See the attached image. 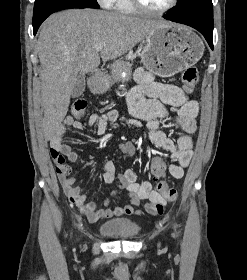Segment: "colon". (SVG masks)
I'll use <instances>...</instances> for the list:
<instances>
[{
  "mask_svg": "<svg viewBox=\"0 0 247 280\" xmlns=\"http://www.w3.org/2000/svg\"><path fill=\"white\" fill-rule=\"evenodd\" d=\"M199 80V73L197 68L189 67L185 69L182 73L183 87L187 92H192L197 85ZM87 108V101L85 99H77L74 101L71 107V113L75 117H82L85 114ZM121 151L128 156H133L136 154L137 148L132 142L122 143L120 146ZM52 158L56 165V170L60 175H67L70 173L71 169L66 164L65 158L57 153H51ZM166 166L165 163L159 157L152 158L151 173L154 178L158 179L157 191L164 197L166 201H173L176 198L177 192L173 187L168 186L161 179L165 176ZM116 183L114 185L115 189L120 191H127L131 186V181L125 176H118L116 178Z\"/></svg>",
  "mask_w": 247,
  "mask_h": 280,
  "instance_id": "1",
  "label": "colon"
}]
</instances>
